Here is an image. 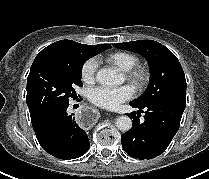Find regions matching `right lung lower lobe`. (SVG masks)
I'll return each instance as SVG.
<instances>
[{
	"label": "right lung lower lobe",
	"mask_w": 209,
	"mask_h": 179,
	"mask_svg": "<svg viewBox=\"0 0 209 179\" xmlns=\"http://www.w3.org/2000/svg\"><path fill=\"white\" fill-rule=\"evenodd\" d=\"M69 102L58 105L32 121L41 147L50 155L69 160L81 157L90 147L88 136L73 114L67 113Z\"/></svg>",
	"instance_id": "1"
}]
</instances>
